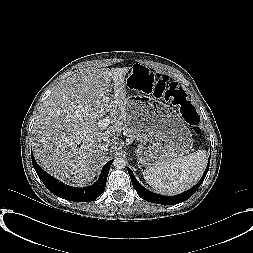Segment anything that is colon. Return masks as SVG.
Listing matches in <instances>:
<instances>
[{
	"mask_svg": "<svg viewBox=\"0 0 253 253\" xmlns=\"http://www.w3.org/2000/svg\"><path fill=\"white\" fill-rule=\"evenodd\" d=\"M150 78V72L143 66L137 65L133 69L132 79L142 80ZM157 95L165 96L170 99L175 105L179 106L180 112L184 119L194 126L196 136H201L202 131L198 127L199 116L195 108L187 99L185 91L177 86L174 82L159 76L157 81Z\"/></svg>",
	"mask_w": 253,
	"mask_h": 253,
	"instance_id": "colon-1",
	"label": "colon"
}]
</instances>
